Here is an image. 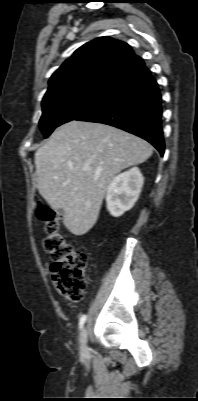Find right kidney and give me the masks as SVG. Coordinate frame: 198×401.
<instances>
[{
    "label": "right kidney",
    "instance_id": "obj_1",
    "mask_svg": "<svg viewBox=\"0 0 198 401\" xmlns=\"http://www.w3.org/2000/svg\"><path fill=\"white\" fill-rule=\"evenodd\" d=\"M144 177L137 167L115 176L107 189V210L113 217H119L130 210L138 200Z\"/></svg>",
    "mask_w": 198,
    "mask_h": 401
}]
</instances>
